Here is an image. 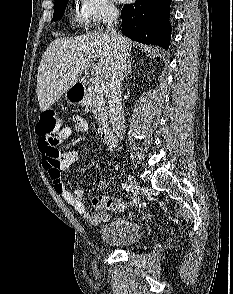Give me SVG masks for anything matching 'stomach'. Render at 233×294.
<instances>
[{"instance_id": "obj_1", "label": "stomach", "mask_w": 233, "mask_h": 294, "mask_svg": "<svg viewBox=\"0 0 233 294\" xmlns=\"http://www.w3.org/2000/svg\"><path fill=\"white\" fill-rule=\"evenodd\" d=\"M66 99L70 103H82V101H83V93L80 91V89L71 87L66 92Z\"/></svg>"}]
</instances>
